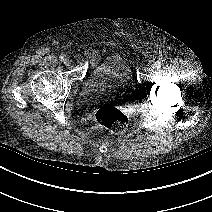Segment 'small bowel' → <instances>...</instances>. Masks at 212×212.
<instances>
[{
  "label": "small bowel",
  "instance_id": "c3829d8e",
  "mask_svg": "<svg viewBox=\"0 0 212 212\" xmlns=\"http://www.w3.org/2000/svg\"><path fill=\"white\" fill-rule=\"evenodd\" d=\"M100 52L104 51L98 49H88L86 51V55L88 56L92 64H95L97 62Z\"/></svg>",
  "mask_w": 212,
  "mask_h": 212
}]
</instances>
